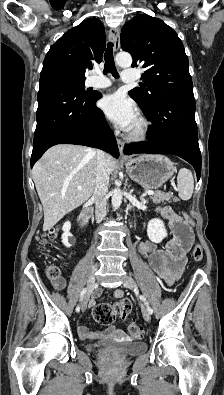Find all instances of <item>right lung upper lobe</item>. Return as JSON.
<instances>
[{
    "mask_svg": "<svg viewBox=\"0 0 224 395\" xmlns=\"http://www.w3.org/2000/svg\"><path fill=\"white\" fill-rule=\"evenodd\" d=\"M105 45L102 22L97 18L86 19L50 47L41 74L56 70L86 79V69L92 68L94 62H101Z\"/></svg>",
    "mask_w": 224,
    "mask_h": 395,
    "instance_id": "1",
    "label": "right lung upper lobe"
}]
</instances>
